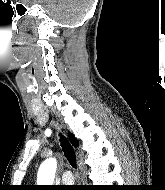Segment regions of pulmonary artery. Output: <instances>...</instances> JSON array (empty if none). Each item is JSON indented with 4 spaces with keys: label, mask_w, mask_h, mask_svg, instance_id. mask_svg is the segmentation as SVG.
I'll return each mask as SVG.
<instances>
[{
    "label": "pulmonary artery",
    "mask_w": 165,
    "mask_h": 190,
    "mask_svg": "<svg viewBox=\"0 0 165 190\" xmlns=\"http://www.w3.org/2000/svg\"><path fill=\"white\" fill-rule=\"evenodd\" d=\"M61 178H62V182L67 185L72 184L74 181L73 174L69 170L64 171Z\"/></svg>",
    "instance_id": "obj_1"
}]
</instances>
